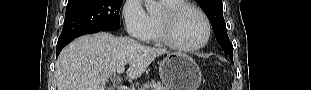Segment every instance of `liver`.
I'll use <instances>...</instances> for the list:
<instances>
[{
	"instance_id": "liver-1",
	"label": "liver",
	"mask_w": 311,
	"mask_h": 90,
	"mask_svg": "<svg viewBox=\"0 0 311 90\" xmlns=\"http://www.w3.org/2000/svg\"><path fill=\"white\" fill-rule=\"evenodd\" d=\"M164 48L145 46L128 37L96 33L75 39L56 62L57 90H105L109 77L127 63V77H140Z\"/></svg>"
}]
</instances>
